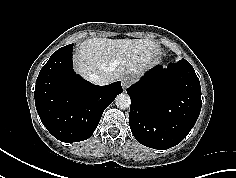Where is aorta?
Returning a JSON list of instances; mask_svg holds the SVG:
<instances>
[{
	"mask_svg": "<svg viewBox=\"0 0 236 178\" xmlns=\"http://www.w3.org/2000/svg\"><path fill=\"white\" fill-rule=\"evenodd\" d=\"M115 104L120 109H127L131 105V99L128 94L121 93L115 98Z\"/></svg>",
	"mask_w": 236,
	"mask_h": 178,
	"instance_id": "obj_1",
	"label": "aorta"
}]
</instances>
